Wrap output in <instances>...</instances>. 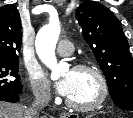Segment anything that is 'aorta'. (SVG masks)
I'll return each instance as SVG.
<instances>
[{
  "label": "aorta",
  "instance_id": "1",
  "mask_svg": "<svg viewBox=\"0 0 133 118\" xmlns=\"http://www.w3.org/2000/svg\"><path fill=\"white\" fill-rule=\"evenodd\" d=\"M60 35L59 23L43 26L36 37V52L41 61L51 69V78L58 79L61 72L67 69L64 63H57L55 48Z\"/></svg>",
  "mask_w": 133,
  "mask_h": 118
}]
</instances>
